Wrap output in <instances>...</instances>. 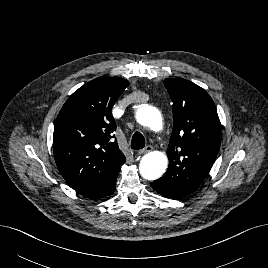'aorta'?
Here are the masks:
<instances>
[{"label":"aorta","instance_id":"aorta-1","mask_svg":"<svg viewBox=\"0 0 268 268\" xmlns=\"http://www.w3.org/2000/svg\"><path fill=\"white\" fill-rule=\"evenodd\" d=\"M136 120L139 124L148 127L152 131L159 132L163 129V118L158 109L143 104L136 112ZM168 166L167 156L159 151H151L145 154L139 164V171L143 178L156 180L166 171Z\"/></svg>","mask_w":268,"mask_h":268}]
</instances>
